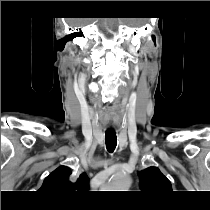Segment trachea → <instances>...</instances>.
Here are the masks:
<instances>
[{
  "instance_id": "obj_1",
  "label": "trachea",
  "mask_w": 210,
  "mask_h": 210,
  "mask_svg": "<svg viewBox=\"0 0 210 210\" xmlns=\"http://www.w3.org/2000/svg\"><path fill=\"white\" fill-rule=\"evenodd\" d=\"M106 148L109 152H113L117 145V136L114 131L105 133Z\"/></svg>"
}]
</instances>
